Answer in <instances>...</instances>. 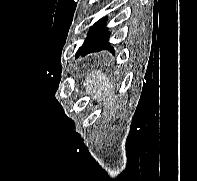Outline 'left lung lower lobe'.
I'll use <instances>...</instances> for the list:
<instances>
[{
    "label": "left lung lower lobe",
    "instance_id": "obj_1",
    "mask_svg": "<svg viewBox=\"0 0 197 181\" xmlns=\"http://www.w3.org/2000/svg\"><path fill=\"white\" fill-rule=\"evenodd\" d=\"M107 20L108 18L104 17L98 22L89 39L77 52V56L80 54L86 55L88 53L98 52L101 50H109L112 53L115 52L113 45L109 42L111 32L106 27Z\"/></svg>",
    "mask_w": 197,
    "mask_h": 181
}]
</instances>
